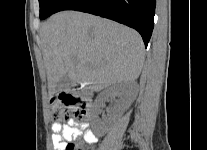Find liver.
Returning a JSON list of instances; mask_svg holds the SVG:
<instances>
[{
  "instance_id": "1",
  "label": "liver",
  "mask_w": 207,
  "mask_h": 150,
  "mask_svg": "<svg viewBox=\"0 0 207 150\" xmlns=\"http://www.w3.org/2000/svg\"><path fill=\"white\" fill-rule=\"evenodd\" d=\"M41 46L52 97L65 74L73 84L100 91L136 80L144 63V44L135 30L89 14L63 11L41 27Z\"/></svg>"
}]
</instances>
